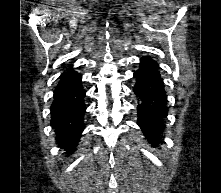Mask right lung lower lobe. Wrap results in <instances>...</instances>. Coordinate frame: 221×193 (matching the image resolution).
I'll return each instance as SVG.
<instances>
[{"label":"right lung lower lobe","instance_id":"1","mask_svg":"<svg viewBox=\"0 0 221 193\" xmlns=\"http://www.w3.org/2000/svg\"><path fill=\"white\" fill-rule=\"evenodd\" d=\"M85 93L81 75L72 68L59 77L51 104V125L56 132V141L66 153L75 149L83 131Z\"/></svg>","mask_w":221,"mask_h":193}]
</instances>
